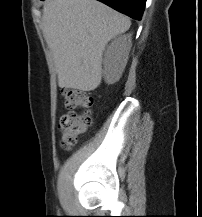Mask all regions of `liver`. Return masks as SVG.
I'll use <instances>...</instances> for the list:
<instances>
[{
	"label": "liver",
	"instance_id": "6515ba94",
	"mask_svg": "<svg viewBox=\"0 0 202 217\" xmlns=\"http://www.w3.org/2000/svg\"><path fill=\"white\" fill-rule=\"evenodd\" d=\"M130 26L128 17L97 0H47L42 32L59 87L95 90L101 83L105 46Z\"/></svg>",
	"mask_w": 202,
	"mask_h": 217
}]
</instances>
